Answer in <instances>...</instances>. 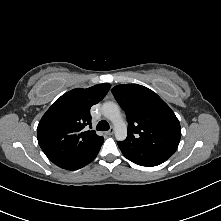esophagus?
<instances>
[{"label": "esophagus", "instance_id": "obj_1", "mask_svg": "<svg viewBox=\"0 0 221 221\" xmlns=\"http://www.w3.org/2000/svg\"><path fill=\"white\" fill-rule=\"evenodd\" d=\"M113 133H114V129L113 128H111L110 130H108L106 132V134L109 135V136L113 135Z\"/></svg>", "mask_w": 221, "mask_h": 221}]
</instances>
